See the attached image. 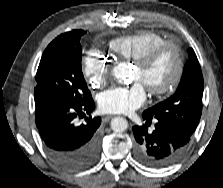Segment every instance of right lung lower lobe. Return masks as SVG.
I'll list each match as a JSON object with an SVG mask.
<instances>
[{
  "label": "right lung lower lobe",
  "mask_w": 223,
  "mask_h": 188,
  "mask_svg": "<svg viewBox=\"0 0 223 188\" xmlns=\"http://www.w3.org/2000/svg\"><path fill=\"white\" fill-rule=\"evenodd\" d=\"M94 101L78 103L50 95H35L36 126L53 161L61 168L79 171L91 166L100 153L101 118L91 116L78 125L76 118L90 114Z\"/></svg>",
  "instance_id": "1"
}]
</instances>
